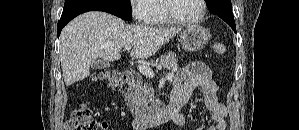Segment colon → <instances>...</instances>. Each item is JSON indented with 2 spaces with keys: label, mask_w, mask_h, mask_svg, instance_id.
I'll list each match as a JSON object with an SVG mask.
<instances>
[{
  "label": "colon",
  "mask_w": 299,
  "mask_h": 130,
  "mask_svg": "<svg viewBox=\"0 0 299 130\" xmlns=\"http://www.w3.org/2000/svg\"><path fill=\"white\" fill-rule=\"evenodd\" d=\"M213 50L216 55L226 54V46L222 43H214ZM94 81L103 80L112 89H120L125 81L124 74L116 70H108L94 77ZM101 125L92 116L91 109L83 104L77 107L66 123V130H99Z\"/></svg>",
  "instance_id": "obj_1"
}]
</instances>
